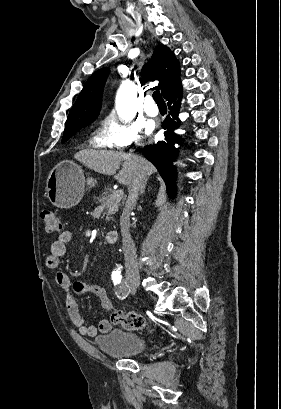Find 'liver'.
<instances>
[{"label": "liver", "instance_id": "obj_1", "mask_svg": "<svg viewBox=\"0 0 281 409\" xmlns=\"http://www.w3.org/2000/svg\"><path fill=\"white\" fill-rule=\"evenodd\" d=\"M75 158L83 162L88 168L101 172V174H114V178L121 182V184H130L134 176V158H141L144 162L143 170L145 176H150L153 172H156L155 166L152 162L138 156V154H132V152H115V150H93V148H84L80 152H76ZM121 162H123L122 170H119L116 174L117 168H119Z\"/></svg>", "mask_w": 281, "mask_h": 409}]
</instances>
